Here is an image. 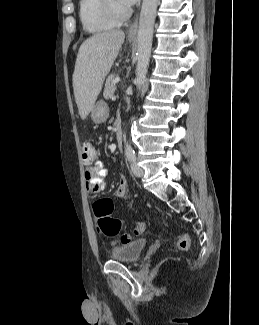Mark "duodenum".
I'll use <instances>...</instances> for the list:
<instances>
[{"label":"duodenum","instance_id":"410a0bca","mask_svg":"<svg viewBox=\"0 0 259 325\" xmlns=\"http://www.w3.org/2000/svg\"><path fill=\"white\" fill-rule=\"evenodd\" d=\"M115 133H116V141L119 148L123 146V130L121 119L118 117L115 123Z\"/></svg>","mask_w":259,"mask_h":325}]
</instances>
